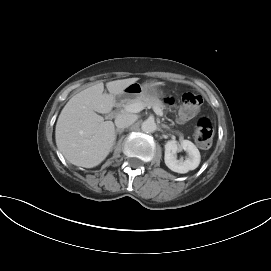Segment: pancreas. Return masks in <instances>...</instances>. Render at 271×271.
<instances>
[{
    "label": "pancreas",
    "mask_w": 271,
    "mask_h": 271,
    "mask_svg": "<svg viewBox=\"0 0 271 271\" xmlns=\"http://www.w3.org/2000/svg\"><path fill=\"white\" fill-rule=\"evenodd\" d=\"M132 103H142L145 107H153V108L157 107L161 110L164 109L163 103L158 98L150 97L146 95H141L134 99H127L125 101L124 106L132 104Z\"/></svg>",
    "instance_id": "obj_1"
}]
</instances>
